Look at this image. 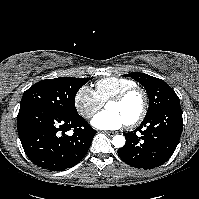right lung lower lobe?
<instances>
[{"label": "right lung lower lobe", "instance_id": "98d812e1", "mask_svg": "<svg viewBox=\"0 0 199 199\" xmlns=\"http://www.w3.org/2000/svg\"><path fill=\"white\" fill-rule=\"evenodd\" d=\"M17 128L27 157L38 167L51 171L76 165L96 134L79 114L63 116L36 107L19 110ZM70 130L72 135L67 133Z\"/></svg>", "mask_w": 199, "mask_h": 199}]
</instances>
